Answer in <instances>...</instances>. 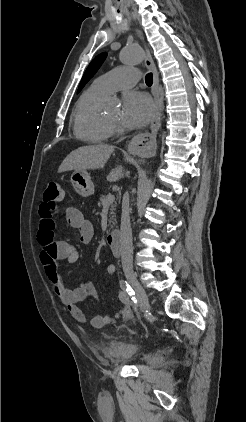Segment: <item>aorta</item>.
<instances>
[{"label": "aorta", "instance_id": "1", "mask_svg": "<svg viewBox=\"0 0 246 422\" xmlns=\"http://www.w3.org/2000/svg\"><path fill=\"white\" fill-rule=\"evenodd\" d=\"M121 61L125 64H138L144 59L143 49L138 46H130L124 48L120 53Z\"/></svg>", "mask_w": 246, "mask_h": 422}]
</instances>
